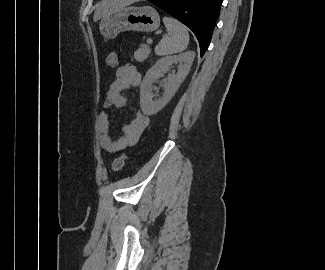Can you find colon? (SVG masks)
Wrapping results in <instances>:
<instances>
[{"mask_svg": "<svg viewBox=\"0 0 325 270\" xmlns=\"http://www.w3.org/2000/svg\"><path fill=\"white\" fill-rule=\"evenodd\" d=\"M106 63L109 68H115L118 65L117 53L110 52L107 56ZM125 161H126L125 155H121L118 158H116L112 163V170L113 171L120 170L124 166Z\"/></svg>", "mask_w": 325, "mask_h": 270, "instance_id": "1", "label": "colon"}]
</instances>
